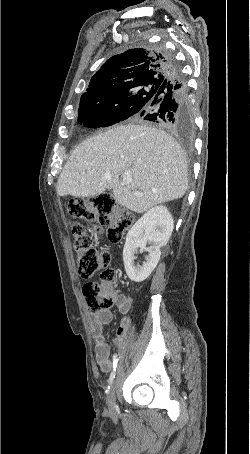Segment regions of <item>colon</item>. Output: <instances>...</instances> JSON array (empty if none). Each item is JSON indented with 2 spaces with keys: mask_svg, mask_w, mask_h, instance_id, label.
<instances>
[{
  "mask_svg": "<svg viewBox=\"0 0 250 454\" xmlns=\"http://www.w3.org/2000/svg\"><path fill=\"white\" fill-rule=\"evenodd\" d=\"M68 211L73 219H84L94 225L93 231L89 233L83 224L76 222L72 234L80 276L89 279L100 272L99 281H88L83 286L87 307L92 313L108 311L116 300L112 289L116 273L110 267V253L97 246L95 233L105 228L108 240L119 242L131 227L133 219L130 214L117 208L114 197L109 193L93 195L87 201H72Z\"/></svg>",
  "mask_w": 250,
  "mask_h": 454,
  "instance_id": "1",
  "label": "colon"
}]
</instances>
